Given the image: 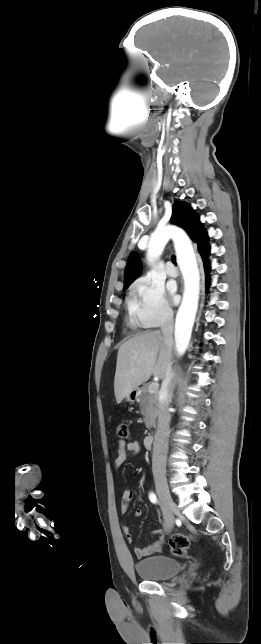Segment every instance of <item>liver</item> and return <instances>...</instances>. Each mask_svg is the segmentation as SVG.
<instances>
[{"mask_svg": "<svg viewBox=\"0 0 261 644\" xmlns=\"http://www.w3.org/2000/svg\"><path fill=\"white\" fill-rule=\"evenodd\" d=\"M171 349L160 331L140 333L120 346L114 379V393L118 404L152 375L164 379Z\"/></svg>", "mask_w": 261, "mask_h": 644, "instance_id": "1", "label": "liver"}]
</instances>
